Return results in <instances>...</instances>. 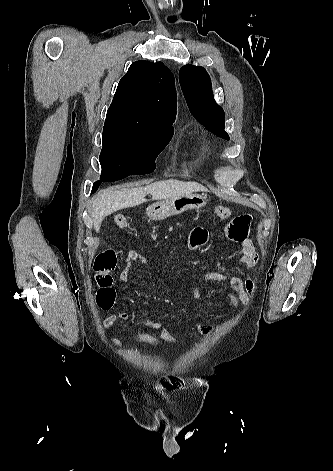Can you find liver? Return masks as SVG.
Returning a JSON list of instances; mask_svg holds the SVG:
<instances>
[{
    "instance_id": "liver-1",
    "label": "liver",
    "mask_w": 333,
    "mask_h": 471,
    "mask_svg": "<svg viewBox=\"0 0 333 471\" xmlns=\"http://www.w3.org/2000/svg\"><path fill=\"white\" fill-rule=\"evenodd\" d=\"M200 191H207V189L196 182L175 179L158 181L145 187L100 191L92 200L94 229L98 233L103 219L113 212L146 202L145 196L148 194L152 195V200H167Z\"/></svg>"
}]
</instances>
